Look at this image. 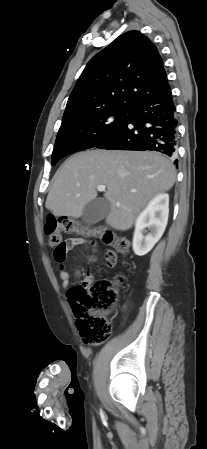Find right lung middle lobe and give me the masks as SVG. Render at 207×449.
Segmentation results:
<instances>
[{
    "instance_id": "dd1d6c3e",
    "label": "right lung middle lobe",
    "mask_w": 207,
    "mask_h": 449,
    "mask_svg": "<svg viewBox=\"0 0 207 449\" xmlns=\"http://www.w3.org/2000/svg\"><path fill=\"white\" fill-rule=\"evenodd\" d=\"M131 112V108H106L62 120L52 165L69 154L95 147L109 138L124 126Z\"/></svg>"
}]
</instances>
